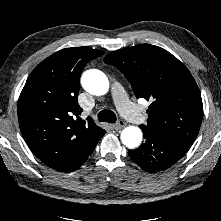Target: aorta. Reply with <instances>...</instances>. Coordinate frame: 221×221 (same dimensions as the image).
I'll return each mask as SVG.
<instances>
[{
    "mask_svg": "<svg viewBox=\"0 0 221 221\" xmlns=\"http://www.w3.org/2000/svg\"><path fill=\"white\" fill-rule=\"evenodd\" d=\"M82 87L92 95L101 96L109 90V80L100 70L90 69L81 77ZM121 141L128 148H136L142 141V131L139 127L128 126L121 132Z\"/></svg>",
    "mask_w": 221,
    "mask_h": 221,
    "instance_id": "1",
    "label": "aorta"
}]
</instances>
